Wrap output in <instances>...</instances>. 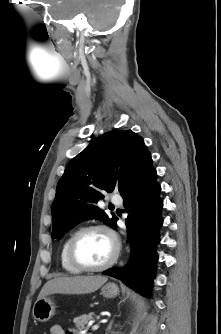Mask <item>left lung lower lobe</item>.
<instances>
[{"label": "left lung lower lobe", "mask_w": 221, "mask_h": 334, "mask_svg": "<svg viewBox=\"0 0 221 334\" xmlns=\"http://www.w3.org/2000/svg\"><path fill=\"white\" fill-rule=\"evenodd\" d=\"M152 161L146 164L137 178L121 194L129 213L126 218L128 239L131 241V258L128 266L119 271L112 268L103 274L122 280L144 296H149L158 259L156 244L163 220L160 211L163 201L159 197L160 185L156 181ZM112 228H116V222Z\"/></svg>", "instance_id": "1"}]
</instances>
